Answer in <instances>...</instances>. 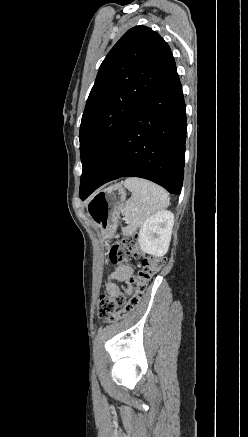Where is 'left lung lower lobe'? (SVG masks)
<instances>
[{"mask_svg": "<svg viewBox=\"0 0 248 437\" xmlns=\"http://www.w3.org/2000/svg\"><path fill=\"white\" fill-rule=\"evenodd\" d=\"M186 107L176 66L127 121L100 173L81 196L120 177H141L180 194L184 175Z\"/></svg>", "mask_w": 248, "mask_h": 437, "instance_id": "0a47b994", "label": "left lung lower lobe"}]
</instances>
